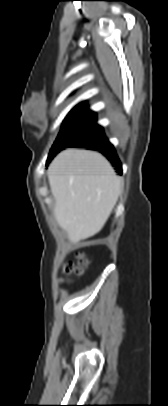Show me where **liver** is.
Instances as JSON below:
<instances>
[{"mask_svg":"<svg viewBox=\"0 0 168 406\" xmlns=\"http://www.w3.org/2000/svg\"><path fill=\"white\" fill-rule=\"evenodd\" d=\"M54 216L71 243L97 234L122 190V180L100 153L66 149L48 168Z\"/></svg>","mask_w":168,"mask_h":406,"instance_id":"obj_1","label":"liver"}]
</instances>
